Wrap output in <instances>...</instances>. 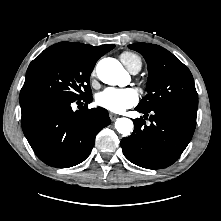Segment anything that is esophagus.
Wrapping results in <instances>:
<instances>
[{
  "label": "esophagus",
  "mask_w": 221,
  "mask_h": 221,
  "mask_svg": "<svg viewBox=\"0 0 221 221\" xmlns=\"http://www.w3.org/2000/svg\"><path fill=\"white\" fill-rule=\"evenodd\" d=\"M110 119L112 120V121H115L116 120V118L118 117V115L117 114H115V113H110Z\"/></svg>",
  "instance_id": "esophagus-1"
}]
</instances>
